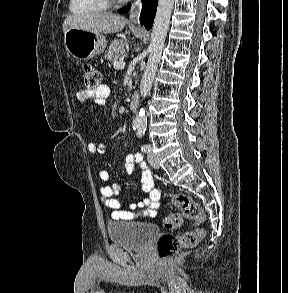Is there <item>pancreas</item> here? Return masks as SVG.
I'll use <instances>...</instances> for the list:
<instances>
[{"instance_id": "obj_1", "label": "pancreas", "mask_w": 288, "mask_h": 293, "mask_svg": "<svg viewBox=\"0 0 288 293\" xmlns=\"http://www.w3.org/2000/svg\"><path fill=\"white\" fill-rule=\"evenodd\" d=\"M125 54V43L122 40H113L105 52V57L111 62H115Z\"/></svg>"}]
</instances>
